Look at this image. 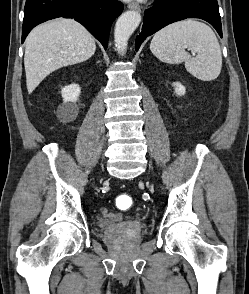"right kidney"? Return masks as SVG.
Listing matches in <instances>:
<instances>
[{"mask_svg": "<svg viewBox=\"0 0 249 294\" xmlns=\"http://www.w3.org/2000/svg\"><path fill=\"white\" fill-rule=\"evenodd\" d=\"M63 103L58 107V114L64 121H73L78 115L76 101L80 95V87L78 84L65 86L61 90Z\"/></svg>", "mask_w": 249, "mask_h": 294, "instance_id": "ca27d5eb", "label": "right kidney"}]
</instances>
